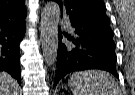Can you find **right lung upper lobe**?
<instances>
[{
	"label": "right lung upper lobe",
	"mask_w": 135,
	"mask_h": 95,
	"mask_svg": "<svg viewBox=\"0 0 135 95\" xmlns=\"http://www.w3.org/2000/svg\"><path fill=\"white\" fill-rule=\"evenodd\" d=\"M25 16L24 0H0V20H19Z\"/></svg>",
	"instance_id": "obj_1"
}]
</instances>
